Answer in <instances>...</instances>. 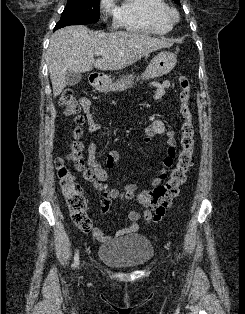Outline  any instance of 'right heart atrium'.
<instances>
[{
    "mask_svg": "<svg viewBox=\"0 0 245 314\" xmlns=\"http://www.w3.org/2000/svg\"><path fill=\"white\" fill-rule=\"evenodd\" d=\"M99 6L104 20H107L110 16L115 17L116 8L114 0H100Z\"/></svg>",
    "mask_w": 245,
    "mask_h": 314,
    "instance_id": "d8ad5b80",
    "label": "right heart atrium"
}]
</instances>
